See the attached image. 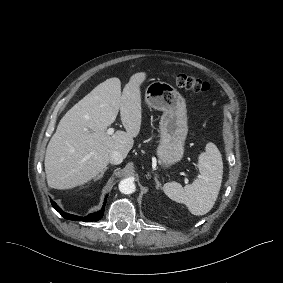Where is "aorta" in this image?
Instances as JSON below:
<instances>
[{
	"label": "aorta",
	"mask_w": 283,
	"mask_h": 283,
	"mask_svg": "<svg viewBox=\"0 0 283 283\" xmlns=\"http://www.w3.org/2000/svg\"><path fill=\"white\" fill-rule=\"evenodd\" d=\"M118 187L123 194H132L136 189L135 183L129 178L121 180Z\"/></svg>",
	"instance_id": "obj_1"
}]
</instances>
